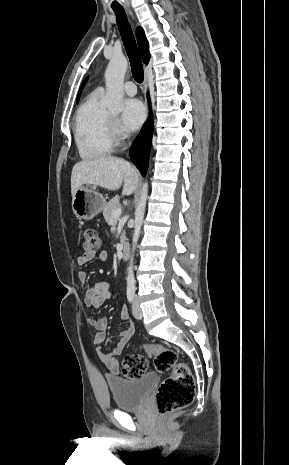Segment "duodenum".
Segmentation results:
<instances>
[{"mask_svg": "<svg viewBox=\"0 0 289 465\" xmlns=\"http://www.w3.org/2000/svg\"><path fill=\"white\" fill-rule=\"evenodd\" d=\"M130 256V247L128 245H124L121 250V257L124 261L128 260Z\"/></svg>", "mask_w": 289, "mask_h": 465, "instance_id": "1", "label": "duodenum"}]
</instances>
